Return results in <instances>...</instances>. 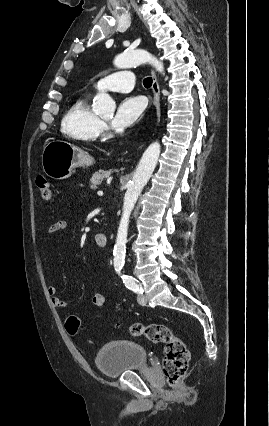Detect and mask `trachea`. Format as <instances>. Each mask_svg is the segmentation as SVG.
<instances>
[{
	"instance_id": "1",
	"label": "trachea",
	"mask_w": 269,
	"mask_h": 426,
	"mask_svg": "<svg viewBox=\"0 0 269 426\" xmlns=\"http://www.w3.org/2000/svg\"><path fill=\"white\" fill-rule=\"evenodd\" d=\"M143 84L146 88H150L152 85V78L151 77H147L144 79Z\"/></svg>"
}]
</instances>
